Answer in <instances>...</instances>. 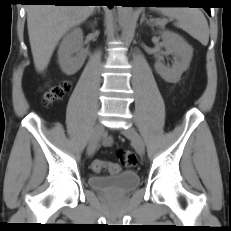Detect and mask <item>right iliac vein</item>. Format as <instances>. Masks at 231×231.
I'll return each instance as SVG.
<instances>
[{
	"mask_svg": "<svg viewBox=\"0 0 231 231\" xmlns=\"http://www.w3.org/2000/svg\"><path fill=\"white\" fill-rule=\"evenodd\" d=\"M103 134H104V126L102 124H97L95 126L94 132L92 134L91 140L87 148V153L89 156L93 155V153L95 152Z\"/></svg>",
	"mask_w": 231,
	"mask_h": 231,
	"instance_id": "right-iliac-vein-1",
	"label": "right iliac vein"
}]
</instances>
